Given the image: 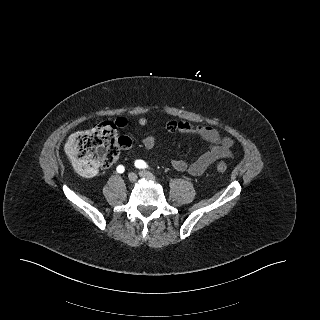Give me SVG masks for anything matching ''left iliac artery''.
<instances>
[{
  "label": "left iliac artery",
  "instance_id": "1",
  "mask_svg": "<svg viewBox=\"0 0 320 320\" xmlns=\"http://www.w3.org/2000/svg\"><path fill=\"white\" fill-rule=\"evenodd\" d=\"M135 166L138 168H147L148 165L143 160H136Z\"/></svg>",
  "mask_w": 320,
  "mask_h": 320
}]
</instances>
